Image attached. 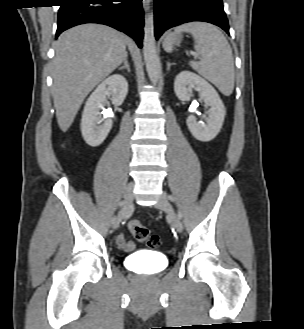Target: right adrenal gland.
Here are the masks:
<instances>
[{
	"mask_svg": "<svg viewBox=\"0 0 304 329\" xmlns=\"http://www.w3.org/2000/svg\"><path fill=\"white\" fill-rule=\"evenodd\" d=\"M127 55L125 56V58H124V65L123 66H121L120 68H119V70H123V69H126L127 71H128V73H130V66H129V63H128V60H127Z\"/></svg>",
	"mask_w": 304,
	"mask_h": 329,
	"instance_id": "2a0ac1e0",
	"label": "right adrenal gland"
}]
</instances>
